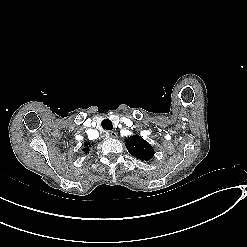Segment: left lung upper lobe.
Wrapping results in <instances>:
<instances>
[{
  "label": "left lung upper lobe",
  "instance_id": "1",
  "mask_svg": "<svg viewBox=\"0 0 247 247\" xmlns=\"http://www.w3.org/2000/svg\"><path fill=\"white\" fill-rule=\"evenodd\" d=\"M125 145L132 156L142 161H148L154 155L152 146L141 136L134 135L128 137L125 139Z\"/></svg>",
  "mask_w": 247,
  "mask_h": 247
}]
</instances>
